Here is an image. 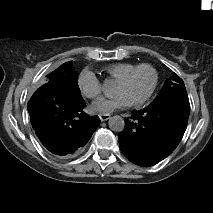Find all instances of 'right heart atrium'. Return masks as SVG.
Here are the masks:
<instances>
[{"label": "right heart atrium", "instance_id": "1", "mask_svg": "<svg viewBox=\"0 0 213 213\" xmlns=\"http://www.w3.org/2000/svg\"><path fill=\"white\" fill-rule=\"evenodd\" d=\"M78 85L83 95L91 99H98L104 90L100 78L90 70H84L81 73Z\"/></svg>", "mask_w": 213, "mask_h": 213}]
</instances>
